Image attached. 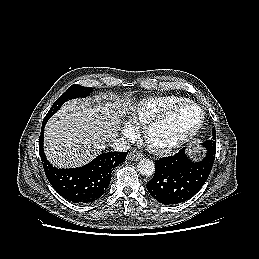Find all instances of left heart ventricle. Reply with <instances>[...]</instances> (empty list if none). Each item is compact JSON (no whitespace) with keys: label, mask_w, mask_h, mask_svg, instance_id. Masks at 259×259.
I'll return each mask as SVG.
<instances>
[{"label":"left heart ventricle","mask_w":259,"mask_h":259,"mask_svg":"<svg viewBox=\"0 0 259 259\" xmlns=\"http://www.w3.org/2000/svg\"><path fill=\"white\" fill-rule=\"evenodd\" d=\"M199 113L193 107H186L176 112L155 132L159 141H170L188 132L198 121Z\"/></svg>","instance_id":"left-heart-ventricle-1"}]
</instances>
